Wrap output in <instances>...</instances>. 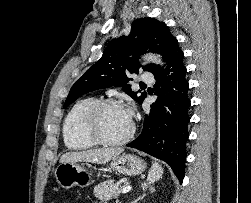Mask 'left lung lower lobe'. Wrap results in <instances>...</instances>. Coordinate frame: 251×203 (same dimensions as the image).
Masks as SVG:
<instances>
[{
	"instance_id": "0a47b994",
	"label": "left lung lower lobe",
	"mask_w": 251,
	"mask_h": 203,
	"mask_svg": "<svg viewBox=\"0 0 251 203\" xmlns=\"http://www.w3.org/2000/svg\"><path fill=\"white\" fill-rule=\"evenodd\" d=\"M184 54L175 39L164 59L167 67H158L152 73L155 76V94L161 95L145 115L141 134L127 146L144 151L165 161L182 182L186 161V143L190 121L188 97L189 84L186 80V67L183 65ZM168 70V72L166 71ZM168 74V76H167ZM162 88L161 94L159 86Z\"/></svg>"
}]
</instances>
